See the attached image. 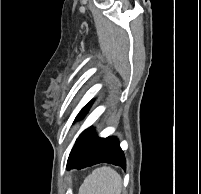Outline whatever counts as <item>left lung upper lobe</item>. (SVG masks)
<instances>
[{
    "label": "left lung upper lobe",
    "instance_id": "5c2ea615",
    "mask_svg": "<svg viewBox=\"0 0 201 194\" xmlns=\"http://www.w3.org/2000/svg\"><path fill=\"white\" fill-rule=\"evenodd\" d=\"M88 109H89V105H88V106H85V107L80 111V113L77 115L75 121H76V120H81V119L85 116V114L87 113Z\"/></svg>",
    "mask_w": 201,
    "mask_h": 194
}]
</instances>
